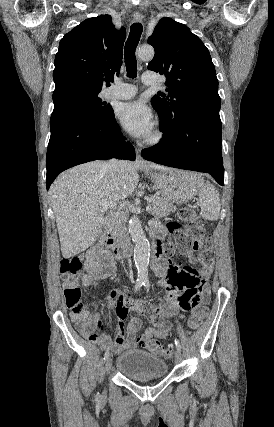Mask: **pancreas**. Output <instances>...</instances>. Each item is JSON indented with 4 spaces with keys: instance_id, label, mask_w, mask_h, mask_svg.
<instances>
[{
    "instance_id": "1",
    "label": "pancreas",
    "mask_w": 274,
    "mask_h": 427,
    "mask_svg": "<svg viewBox=\"0 0 274 427\" xmlns=\"http://www.w3.org/2000/svg\"><path fill=\"white\" fill-rule=\"evenodd\" d=\"M152 198V202H147L148 206H152L150 214L155 215V217H166L170 212H174L176 206H173L171 200L161 198V196H152ZM128 215L129 212H116V214L111 217L113 223H111L109 231L112 237L118 239V241L127 235L125 223Z\"/></svg>"
}]
</instances>
